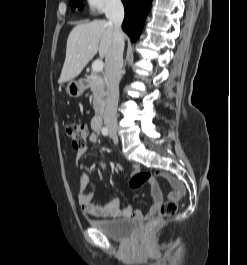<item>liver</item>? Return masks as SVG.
I'll return each mask as SVG.
<instances>
[{"mask_svg": "<svg viewBox=\"0 0 247 265\" xmlns=\"http://www.w3.org/2000/svg\"><path fill=\"white\" fill-rule=\"evenodd\" d=\"M112 40L113 26L108 21L94 20L76 25L67 39L66 58L58 82L65 83L77 77L97 52L101 58H106Z\"/></svg>", "mask_w": 247, "mask_h": 265, "instance_id": "liver-1", "label": "liver"}]
</instances>
